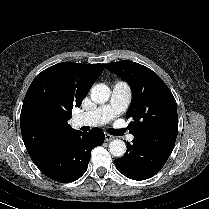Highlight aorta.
<instances>
[{
	"instance_id": "762f6f07",
	"label": "aorta",
	"mask_w": 209,
	"mask_h": 209,
	"mask_svg": "<svg viewBox=\"0 0 209 209\" xmlns=\"http://www.w3.org/2000/svg\"><path fill=\"white\" fill-rule=\"evenodd\" d=\"M110 94V88L102 83L91 88V100L94 103H105L108 101ZM109 151L115 157H122L126 152V144L119 139L112 140L109 144Z\"/></svg>"
}]
</instances>
